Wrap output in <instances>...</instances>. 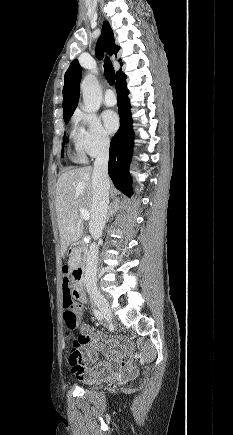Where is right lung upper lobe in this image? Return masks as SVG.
Returning <instances> with one entry per match:
<instances>
[{
	"mask_svg": "<svg viewBox=\"0 0 233 435\" xmlns=\"http://www.w3.org/2000/svg\"><path fill=\"white\" fill-rule=\"evenodd\" d=\"M103 49H106L110 55L118 52L119 47L114 44V34L108 22H104L102 26V33L97 42L96 56L99 59L103 57ZM122 64V63H121ZM81 67L78 60L75 59L71 62L64 76L63 87V110L64 117L72 116L74 110L77 107L79 100V85L81 80ZM124 74L120 70L116 78L123 76Z\"/></svg>",
	"mask_w": 233,
	"mask_h": 435,
	"instance_id": "1",
	"label": "right lung upper lobe"
}]
</instances>
